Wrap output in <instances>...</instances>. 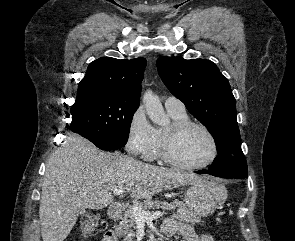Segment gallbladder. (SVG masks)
<instances>
[{
	"label": "gallbladder",
	"mask_w": 295,
	"mask_h": 241,
	"mask_svg": "<svg viewBox=\"0 0 295 241\" xmlns=\"http://www.w3.org/2000/svg\"><path fill=\"white\" fill-rule=\"evenodd\" d=\"M85 212V208H80L79 209V214H83Z\"/></svg>",
	"instance_id": "1"
}]
</instances>
